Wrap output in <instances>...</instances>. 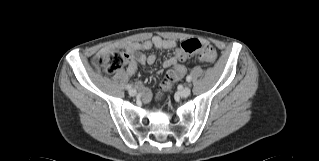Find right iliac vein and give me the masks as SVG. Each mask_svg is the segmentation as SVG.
<instances>
[{
  "label": "right iliac vein",
  "mask_w": 319,
  "mask_h": 161,
  "mask_svg": "<svg viewBox=\"0 0 319 161\" xmlns=\"http://www.w3.org/2000/svg\"><path fill=\"white\" fill-rule=\"evenodd\" d=\"M129 94L130 96H135L137 94V91L135 89H130Z\"/></svg>",
  "instance_id": "63e3f726"
}]
</instances>
